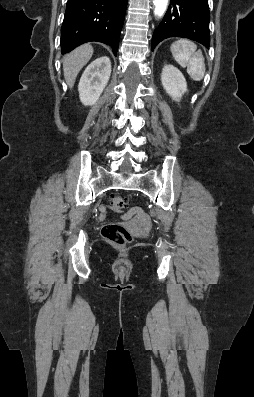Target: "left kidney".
Masks as SVG:
<instances>
[{
  "label": "left kidney",
  "mask_w": 254,
  "mask_h": 397,
  "mask_svg": "<svg viewBox=\"0 0 254 397\" xmlns=\"http://www.w3.org/2000/svg\"><path fill=\"white\" fill-rule=\"evenodd\" d=\"M161 82L167 94L177 102L187 91V83L183 74L173 65H165L163 67Z\"/></svg>",
  "instance_id": "obj_1"
}]
</instances>
